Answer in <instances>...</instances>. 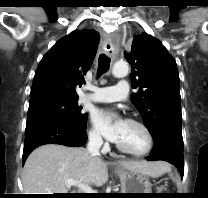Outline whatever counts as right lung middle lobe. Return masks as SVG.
I'll return each mask as SVG.
<instances>
[{
  "instance_id": "right-lung-middle-lobe-1",
  "label": "right lung middle lobe",
  "mask_w": 208,
  "mask_h": 198,
  "mask_svg": "<svg viewBox=\"0 0 208 198\" xmlns=\"http://www.w3.org/2000/svg\"><path fill=\"white\" fill-rule=\"evenodd\" d=\"M82 107L78 106V99L54 100L29 107L27 124L58 119L74 124L86 129L87 113L82 112Z\"/></svg>"
}]
</instances>
